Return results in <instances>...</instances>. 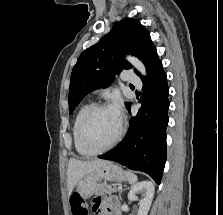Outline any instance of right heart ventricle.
Segmentation results:
<instances>
[{
  "label": "right heart ventricle",
  "instance_id": "obj_1",
  "mask_svg": "<svg viewBox=\"0 0 223 215\" xmlns=\"http://www.w3.org/2000/svg\"><path fill=\"white\" fill-rule=\"evenodd\" d=\"M91 107H92L91 103L83 104L77 111L72 125V138H73L74 148L78 154L86 157H90L92 155L80 143L79 128L84 116Z\"/></svg>",
  "mask_w": 223,
  "mask_h": 215
}]
</instances>
